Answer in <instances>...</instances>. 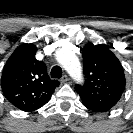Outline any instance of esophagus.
Wrapping results in <instances>:
<instances>
[{"instance_id": "obj_1", "label": "esophagus", "mask_w": 133, "mask_h": 133, "mask_svg": "<svg viewBox=\"0 0 133 133\" xmlns=\"http://www.w3.org/2000/svg\"><path fill=\"white\" fill-rule=\"evenodd\" d=\"M68 80H69V77L66 74L63 75L62 78H61L62 83H66Z\"/></svg>"}]
</instances>
